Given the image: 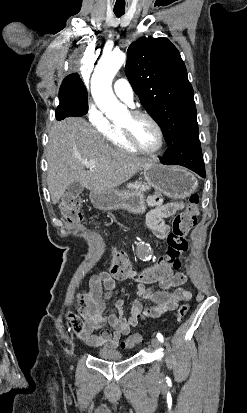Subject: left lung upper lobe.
Wrapping results in <instances>:
<instances>
[{"label": "left lung upper lobe", "instance_id": "left-lung-upper-lobe-1", "mask_svg": "<svg viewBox=\"0 0 247 413\" xmlns=\"http://www.w3.org/2000/svg\"><path fill=\"white\" fill-rule=\"evenodd\" d=\"M125 71L169 146L199 139L193 88L179 51L167 38L148 37L132 43Z\"/></svg>", "mask_w": 247, "mask_h": 413}]
</instances>
